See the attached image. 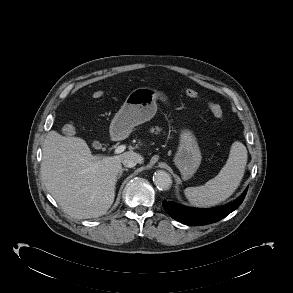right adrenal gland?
<instances>
[{"mask_svg":"<svg viewBox=\"0 0 293 293\" xmlns=\"http://www.w3.org/2000/svg\"><path fill=\"white\" fill-rule=\"evenodd\" d=\"M127 170H128V169H122V170H121V172H120V174H119V177H118V179L120 178V176H121L122 172H123V171H127Z\"/></svg>","mask_w":293,"mask_h":293,"instance_id":"right-adrenal-gland-1","label":"right adrenal gland"}]
</instances>
